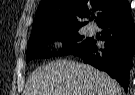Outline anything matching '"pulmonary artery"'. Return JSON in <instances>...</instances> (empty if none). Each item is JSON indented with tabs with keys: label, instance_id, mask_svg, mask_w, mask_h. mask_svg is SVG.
<instances>
[{
	"label": "pulmonary artery",
	"instance_id": "e3ab8cb5",
	"mask_svg": "<svg viewBox=\"0 0 135 95\" xmlns=\"http://www.w3.org/2000/svg\"><path fill=\"white\" fill-rule=\"evenodd\" d=\"M87 32L90 34V35H93L95 34L96 32V28L93 26V25H90L87 29Z\"/></svg>",
	"mask_w": 135,
	"mask_h": 95
}]
</instances>
